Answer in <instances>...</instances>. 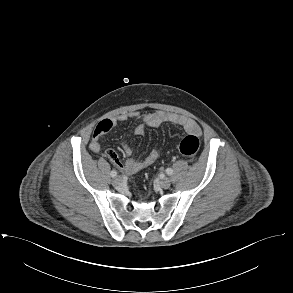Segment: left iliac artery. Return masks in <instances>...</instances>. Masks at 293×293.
<instances>
[{
    "label": "left iliac artery",
    "mask_w": 293,
    "mask_h": 293,
    "mask_svg": "<svg viewBox=\"0 0 293 293\" xmlns=\"http://www.w3.org/2000/svg\"><path fill=\"white\" fill-rule=\"evenodd\" d=\"M166 173H167L168 175H172L173 170H172L171 168H167V169H166Z\"/></svg>",
    "instance_id": "obj_1"
}]
</instances>
